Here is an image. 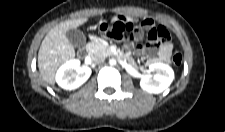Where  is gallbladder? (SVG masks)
I'll return each mask as SVG.
<instances>
[{"label": "gallbladder", "instance_id": "1", "mask_svg": "<svg viewBox=\"0 0 225 132\" xmlns=\"http://www.w3.org/2000/svg\"><path fill=\"white\" fill-rule=\"evenodd\" d=\"M69 42L76 48L83 47L86 44V37L79 29H69L66 32Z\"/></svg>", "mask_w": 225, "mask_h": 132}]
</instances>
